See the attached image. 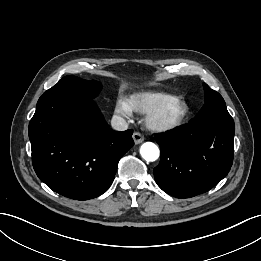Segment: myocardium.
Returning <instances> with one entry per match:
<instances>
[{
  "mask_svg": "<svg viewBox=\"0 0 261 261\" xmlns=\"http://www.w3.org/2000/svg\"><path fill=\"white\" fill-rule=\"evenodd\" d=\"M188 105L179 97H171L158 109L149 113L146 125L156 132H166L178 127L188 114Z\"/></svg>",
  "mask_w": 261,
  "mask_h": 261,
  "instance_id": "1",
  "label": "myocardium"
}]
</instances>
